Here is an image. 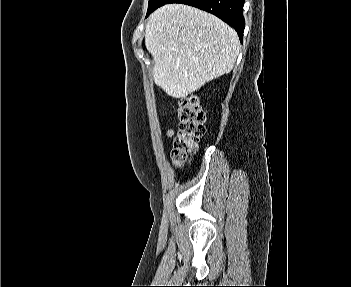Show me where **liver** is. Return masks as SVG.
<instances>
[{"mask_svg": "<svg viewBox=\"0 0 351 287\" xmlns=\"http://www.w3.org/2000/svg\"><path fill=\"white\" fill-rule=\"evenodd\" d=\"M239 44L237 33L226 23L183 4L158 8L145 27L154 82L174 98L184 99L206 82L229 73Z\"/></svg>", "mask_w": 351, "mask_h": 287, "instance_id": "liver-1", "label": "liver"}]
</instances>
